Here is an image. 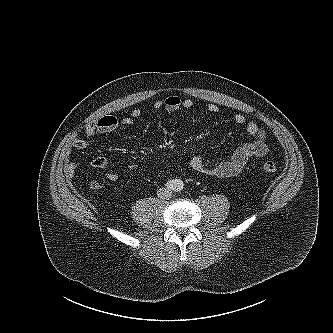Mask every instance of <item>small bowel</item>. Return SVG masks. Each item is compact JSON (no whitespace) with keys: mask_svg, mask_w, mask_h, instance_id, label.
Returning a JSON list of instances; mask_svg holds the SVG:
<instances>
[{"mask_svg":"<svg viewBox=\"0 0 333 333\" xmlns=\"http://www.w3.org/2000/svg\"><path fill=\"white\" fill-rule=\"evenodd\" d=\"M153 106L156 110L165 109L168 112H175L180 109H192L194 107V102L191 99H182L177 95H171L164 100L155 101ZM207 110L213 114L220 112L219 106L214 103L208 104ZM141 115L142 111L140 109H134L130 116H104L94 119L86 125L85 136L74 139L72 146L79 150L85 149L90 144L93 137L115 131L122 126L132 125L136 119L141 117ZM233 120L237 125L244 127L253 140L236 148L228 160L216 164L206 163L201 155L193 156L189 162V167L192 171L218 178L233 177L243 170L251 158H260L268 153L266 131L264 128L255 121L248 120L241 113H235L233 115ZM91 164L93 167L105 171L108 180L115 181L118 179V174L110 168V165L105 158L96 157L92 160ZM127 169L128 171L134 172L139 170V166L137 164H130ZM76 170L77 165L75 162L67 163L65 166V172L69 177L74 176Z\"/></svg>","mask_w":333,"mask_h":333,"instance_id":"1","label":"small bowel"}]
</instances>
